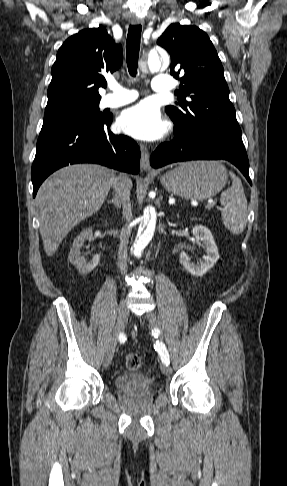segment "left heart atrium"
<instances>
[{
	"mask_svg": "<svg viewBox=\"0 0 287 486\" xmlns=\"http://www.w3.org/2000/svg\"><path fill=\"white\" fill-rule=\"evenodd\" d=\"M119 123L127 134L142 140L158 139L166 131V124L162 121L159 110L148 102L125 110Z\"/></svg>",
	"mask_w": 287,
	"mask_h": 486,
	"instance_id": "left-heart-atrium-1",
	"label": "left heart atrium"
}]
</instances>
